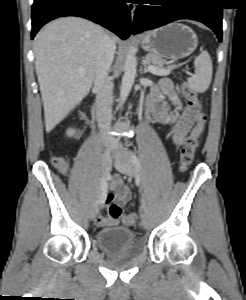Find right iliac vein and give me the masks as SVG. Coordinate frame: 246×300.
Wrapping results in <instances>:
<instances>
[{"label":"right iliac vein","instance_id":"right-iliac-vein-1","mask_svg":"<svg viewBox=\"0 0 246 300\" xmlns=\"http://www.w3.org/2000/svg\"><path fill=\"white\" fill-rule=\"evenodd\" d=\"M112 167V154L109 152H106L103 154L101 159V173L102 176L105 177L108 175ZM98 213V196L95 200V203L92 206L91 212H90V218L94 219Z\"/></svg>","mask_w":246,"mask_h":300}]
</instances>
